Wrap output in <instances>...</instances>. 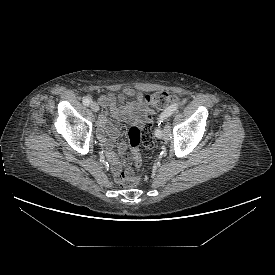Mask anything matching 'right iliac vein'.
I'll return each mask as SVG.
<instances>
[{"mask_svg": "<svg viewBox=\"0 0 275 275\" xmlns=\"http://www.w3.org/2000/svg\"><path fill=\"white\" fill-rule=\"evenodd\" d=\"M91 109L94 111V112H98L99 111V106L97 103L93 102L91 103Z\"/></svg>", "mask_w": 275, "mask_h": 275, "instance_id": "1", "label": "right iliac vein"}]
</instances>
